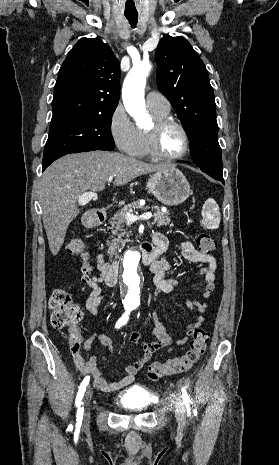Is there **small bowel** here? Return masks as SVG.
<instances>
[{
  "label": "small bowel",
  "instance_id": "small-bowel-1",
  "mask_svg": "<svg viewBox=\"0 0 279 465\" xmlns=\"http://www.w3.org/2000/svg\"><path fill=\"white\" fill-rule=\"evenodd\" d=\"M152 243L158 252L156 260L150 265V269L154 274V284L158 292L171 293L175 290L178 283L168 276L173 268L171 262L165 256L169 248V241L162 233L155 232L152 235ZM180 252L186 260L205 265L199 274L203 280V297L205 299L209 298L215 287V271L217 269L215 257L209 253L198 251L190 241H184L180 244ZM109 267L110 264L104 259L103 255H99L97 257L99 275L92 277L88 281L91 291L86 300V308L93 315L98 314L99 308L102 304L103 292L100 284L102 282H106ZM186 305L189 309L199 313L200 315L194 323H191L186 327L185 335L177 339L176 343L178 345L186 344L194 332L202 327L205 321L202 314L208 307L206 301L198 300H187ZM152 319L154 325L150 330V333L157 338V341L152 343L143 342L141 340L142 334L139 331L133 332L129 335V341L140 346L142 348V354L135 362L124 368L125 375L121 379L111 382L107 381L97 366V358L95 356H91L89 359L84 360L79 353L73 354V361L76 367L82 374L90 373L93 377L95 386L104 392L118 391L131 385L135 380V376L146 364H148L153 354L162 348L168 347L172 343V338L168 329L161 323L156 312L152 313ZM96 340L99 341L100 344L110 353H113L114 349L112 341L108 335L103 333H95L88 338L84 343V349L89 350L93 342Z\"/></svg>",
  "mask_w": 279,
  "mask_h": 465
}]
</instances>
